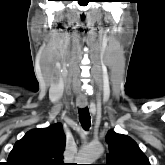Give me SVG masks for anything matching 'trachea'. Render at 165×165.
Instances as JSON below:
<instances>
[{
  "mask_svg": "<svg viewBox=\"0 0 165 165\" xmlns=\"http://www.w3.org/2000/svg\"><path fill=\"white\" fill-rule=\"evenodd\" d=\"M79 120L82 127L88 130L90 127V114L88 108L79 109Z\"/></svg>",
  "mask_w": 165,
  "mask_h": 165,
  "instance_id": "trachea-1",
  "label": "trachea"
}]
</instances>
